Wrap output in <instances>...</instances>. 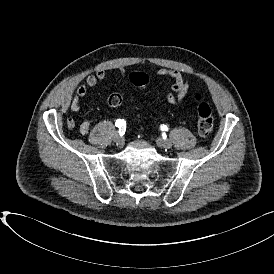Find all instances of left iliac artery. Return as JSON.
<instances>
[{
	"mask_svg": "<svg viewBox=\"0 0 274 274\" xmlns=\"http://www.w3.org/2000/svg\"><path fill=\"white\" fill-rule=\"evenodd\" d=\"M168 127L166 125H161V130L162 131H168Z\"/></svg>",
	"mask_w": 274,
	"mask_h": 274,
	"instance_id": "obj_1",
	"label": "left iliac artery"
}]
</instances>
